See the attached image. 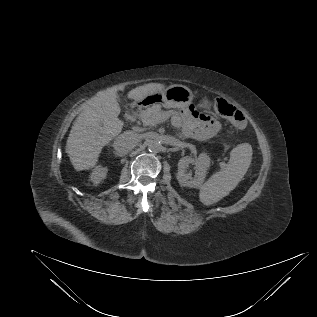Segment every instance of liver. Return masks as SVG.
Segmentation results:
<instances>
[{
    "label": "liver",
    "instance_id": "liver-1",
    "mask_svg": "<svg viewBox=\"0 0 317 317\" xmlns=\"http://www.w3.org/2000/svg\"><path fill=\"white\" fill-rule=\"evenodd\" d=\"M165 85L148 83L128 93V98L141 101L146 96L161 92ZM124 86H115L100 91L92 97L73 123L66 143V153L77 171L93 168L102 148L122 131L124 122L118 119L120 106L117 91Z\"/></svg>",
    "mask_w": 317,
    "mask_h": 317
}]
</instances>
